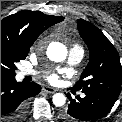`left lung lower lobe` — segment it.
<instances>
[{
	"label": "left lung lower lobe",
	"mask_w": 122,
	"mask_h": 122,
	"mask_svg": "<svg viewBox=\"0 0 122 122\" xmlns=\"http://www.w3.org/2000/svg\"><path fill=\"white\" fill-rule=\"evenodd\" d=\"M85 95L84 98L77 96L76 99H72L70 94H67L71 102L61 113L66 122L98 120L111 110L116 101V98L98 92H86Z\"/></svg>",
	"instance_id": "left-lung-lower-lobe-1"
}]
</instances>
